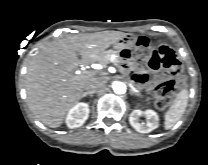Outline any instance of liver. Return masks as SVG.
I'll return each instance as SVG.
<instances>
[{
  "instance_id": "liver-1",
  "label": "liver",
  "mask_w": 208,
  "mask_h": 165,
  "mask_svg": "<svg viewBox=\"0 0 208 165\" xmlns=\"http://www.w3.org/2000/svg\"><path fill=\"white\" fill-rule=\"evenodd\" d=\"M125 36L119 31L77 34L43 48L31 60L26 74L27 100L36 117L49 127H59L69 109L96 79L75 70L81 64L99 62L104 51Z\"/></svg>"
}]
</instances>
